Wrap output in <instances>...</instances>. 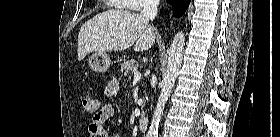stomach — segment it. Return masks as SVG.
I'll list each match as a JSON object with an SVG mask.
<instances>
[{"instance_id":"stomach-1","label":"stomach","mask_w":280,"mask_h":137,"mask_svg":"<svg viewBox=\"0 0 280 137\" xmlns=\"http://www.w3.org/2000/svg\"><path fill=\"white\" fill-rule=\"evenodd\" d=\"M88 64L92 71L104 73L109 69L111 61L106 52H95L90 56Z\"/></svg>"}]
</instances>
